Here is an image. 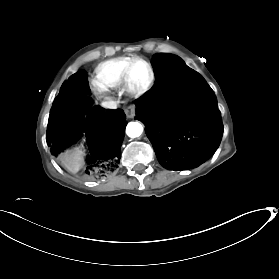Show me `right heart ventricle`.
<instances>
[{
    "instance_id": "right-heart-ventricle-1",
    "label": "right heart ventricle",
    "mask_w": 279,
    "mask_h": 279,
    "mask_svg": "<svg viewBox=\"0 0 279 279\" xmlns=\"http://www.w3.org/2000/svg\"><path fill=\"white\" fill-rule=\"evenodd\" d=\"M130 57H118L100 63L95 69V84L102 89L123 87V74Z\"/></svg>"
}]
</instances>
